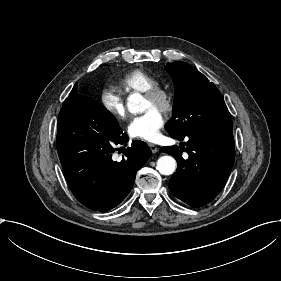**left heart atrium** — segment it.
I'll return each instance as SVG.
<instances>
[{"instance_id":"left-heart-atrium-1","label":"left heart atrium","mask_w":281,"mask_h":281,"mask_svg":"<svg viewBox=\"0 0 281 281\" xmlns=\"http://www.w3.org/2000/svg\"><path fill=\"white\" fill-rule=\"evenodd\" d=\"M164 126L162 114L151 108L144 114L134 117L127 125L128 134L146 142H157L161 139V129Z\"/></svg>"}]
</instances>
